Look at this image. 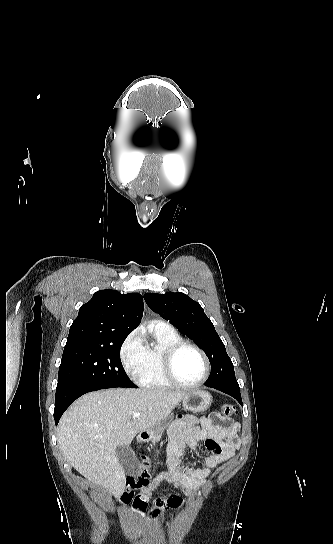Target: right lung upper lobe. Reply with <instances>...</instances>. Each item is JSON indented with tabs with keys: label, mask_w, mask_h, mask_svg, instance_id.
I'll return each instance as SVG.
<instances>
[{
	"label": "right lung upper lobe",
	"mask_w": 333,
	"mask_h": 544,
	"mask_svg": "<svg viewBox=\"0 0 333 544\" xmlns=\"http://www.w3.org/2000/svg\"><path fill=\"white\" fill-rule=\"evenodd\" d=\"M143 297L138 293L121 294L101 290L82 305L73 321L64 349L103 345L128 336L141 322Z\"/></svg>",
	"instance_id": "right-lung-upper-lobe-1"
}]
</instances>
